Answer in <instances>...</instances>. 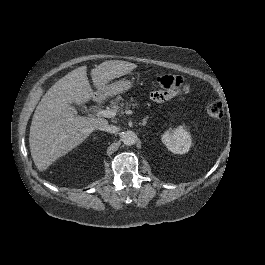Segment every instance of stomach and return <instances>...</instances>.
Listing matches in <instances>:
<instances>
[{"label":"stomach","mask_w":265,"mask_h":265,"mask_svg":"<svg viewBox=\"0 0 265 265\" xmlns=\"http://www.w3.org/2000/svg\"><path fill=\"white\" fill-rule=\"evenodd\" d=\"M133 87V82L130 80L122 79L110 84H107L105 91L102 92L106 96H113L122 92L128 91Z\"/></svg>","instance_id":"obj_1"}]
</instances>
